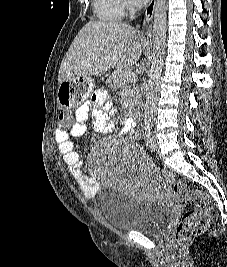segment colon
<instances>
[{"mask_svg":"<svg viewBox=\"0 0 227 267\" xmlns=\"http://www.w3.org/2000/svg\"><path fill=\"white\" fill-rule=\"evenodd\" d=\"M59 118L61 125L58 126V129L70 130V125L73 124V121L69 119H75L76 115L71 114V110H62ZM164 176L166 181L170 183L174 194L193 206V209L186 211L181 216L176 225L174 239L177 245H182L191 241L197 235L207 231L212 225L210 202L208 196L204 192L190 190L185 182L175 180L167 173H165Z\"/></svg>","mask_w":227,"mask_h":267,"instance_id":"1","label":"colon"}]
</instances>
